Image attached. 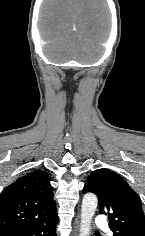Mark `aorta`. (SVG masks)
Listing matches in <instances>:
<instances>
[{
  "label": "aorta",
  "instance_id": "aorta-1",
  "mask_svg": "<svg viewBox=\"0 0 145 236\" xmlns=\"http://www.w3.org/2000/svg\"><path fill=\"white\" fill-rule=\"evenodd\" d=\"M96 195L87 193L84 195L81 207V223L79 236H90L91 221L97 208Z\"/></svg>",
  "mask_w": 145,
  "mask_h": 236
}]
</instances>
